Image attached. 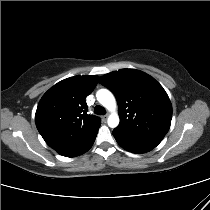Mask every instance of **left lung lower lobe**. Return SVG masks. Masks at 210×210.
I'll return each instance as SVG.
<instances>
[{
    "mask_svg": "<svg viewBox=\"0 0 210 210\" xmlns=\"http://www.w3.org/2000/svg\"><path fill=\"white\" fill-rule=\"evenodd\" d=\"M116 141L122 148H124L125 150L132 152V153H145V152H148L153 149V148H148V147L131 145V144L125 143V142L117 140V139H116Z\"/></svg>",
    "mask_w": 210,
    "mask_h": 210,
    "instance_id": "obj_1",
    "label": "left lung lower lobe"
}]
</instances>
